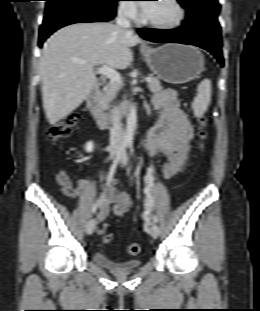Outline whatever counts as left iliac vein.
Segmentation results:
<instances>
[{
    "mask_svg": "<svg viewBox=\"0 0 260 311\" xmlns=\"http://www.w3.org/2000/svg\"><path fill=\"white\" fill-rule=\"evenodd\" d=\"M121 163L122 165H127L128 163V156L126 153H124L121 157ZM159 233H160V229H159V226L156 224V223H153L150 227V234L151 236L156 239L158 236H159Z\"/></svg>",
    "mask_w": 260,
    "mask_h": 311,
    "instance_id": "obj_1",
    "label": "left iliac vein"
}]
</instances>
